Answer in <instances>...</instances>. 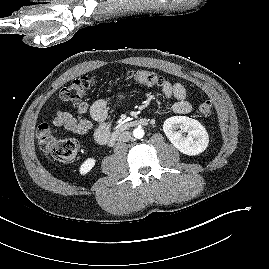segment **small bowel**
Masks as SVG:
<instances>
[{"mask_svg":"<svg viewBox=\"0 0 269 269\" xmlns=\"http://www.w3.org/2000/svg\"><path fill=\"white\" fill-rule=\"evenodd\" d=\"M162 91L166 98L176 100L172 107L175 113L184 115L191 111V104L187 100L186 89L181 83L165 82ZM122 103L123 96L118 95L115 98L114 106L119 108ZM87 113L90 114L91 119L85 117ZM107 117L108 104L105 100L99 99L90 106L87 102L81 101L77 104L76 116L59 110L54 118V124L77 135H85L93 131L96 142L105 144L110 134Z\"/></svg>","mask_w":269,"mask_h":269,"instance_id":"obj_1","label":"small bowel"}]
</instances>
